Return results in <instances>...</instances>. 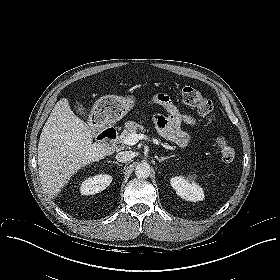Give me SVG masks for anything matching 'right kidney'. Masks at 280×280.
Returning a JSON list of instances; mask_svg holds the SVG:
<instances>
[{"instance_id":"ca27d5eb","label":"right kidney","mask_w":280,"mask_h":280,"mask_svg":"<svg viewBox=\"0 0 280 280\" xmlns=\"http://www.w3.org/2000/svg\"><path fill=\"white\" fill-rule=\"evenodd\" d=\"M112 181V177L107 174H100L84 180L80 185L82 195L97 194L106 189Z\"/></svg>"}]
</instances>
